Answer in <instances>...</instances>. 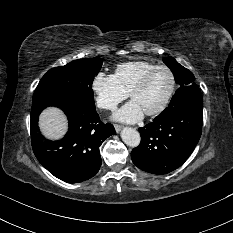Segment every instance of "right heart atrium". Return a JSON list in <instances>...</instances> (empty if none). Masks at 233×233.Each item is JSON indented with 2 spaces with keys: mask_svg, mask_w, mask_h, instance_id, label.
I'll list each match as a JSON object with an SVG mask.
<instances>
[{
  "mask_svg": "<svg viewBox=\"0 0 233 233\" xmlns=\"http://www.w3.org/2000/svg\"><path fill=\"white\" fill-rule=\"evenodd\" d=\"M91 90L96 105L103 110H114L119 103L128 97L113 75L98 72L91 81Z\"/></svg>",
  "mask_w": 233,
  "mask_h": 233,
  "instance_id": "d8ad5b80",
  "label": "right heart atrium"
}]
</instances>
